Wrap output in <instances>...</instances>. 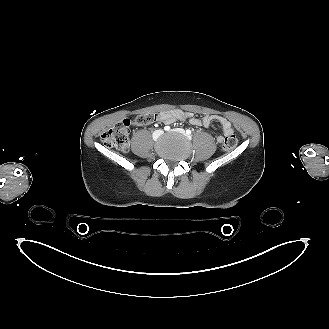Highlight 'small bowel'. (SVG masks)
Here are the masks:
<instances>
[{
  "instance_id": "small-bowel-1",
  "label": "small bowel",
  "mask_w": 329,
  "mask_h": 329,
  "mask_svg": "<svg viewBox=\"0 0 329 329\" xmlns=\"http://www.w3.org/2000/svg\"><path fill=\"white\" fill-rule=\"evenodd\" d=\"M159 121L164 124H172L176 121H187L194 126L207 127L213 122H218L222 129L223 135L217 137V141L221 143L225 137L232 135L234 132L233 126L228 119L219 115H204L195 117L191 112L182 109H173L162 111L159 114Z\"/></svg>"
}]
</instances>
